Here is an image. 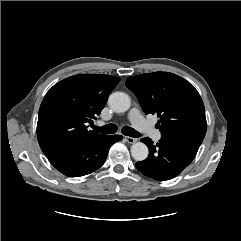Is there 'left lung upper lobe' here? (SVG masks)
<instances>
[{
	"mask_svg": "<svg viewBox=\"0 0 241 241\" xmlns=\"http://www.w3.org/2000/svg\"><path fill=\"white\" fill-rule=\"evenodd\" d=\"M126 86L137 96L145 114H157L161 136L203 140L207 123L203 101L185 79L154 72L129 77Z\"/></svg>",
	"mask_w": 241,
	"mask_h": 241,
	"instance_id": "obj_1",
	"label": "left lung upper lobe"
}]
</instances>
